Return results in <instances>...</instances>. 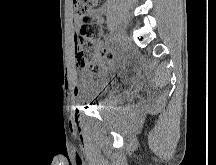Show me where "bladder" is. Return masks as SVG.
Segmentation results:
<instances>
[{"mask_svg": "<svg viewBox=\"0 0 216 165\" xmlns=\"http://www.w3.org/2000/svg\"><path fill=\"white\" fill-rule=\"evenodd\" d=\"M119 76H96L91 80L92 89L87 100H96L94 105L97 111H106L107 107L113 102V94H119L118 89Z\"/></svg>", "mask_w": 216, "mask_h": 165, "instance_id": "obj_1", "label": "bladder"}]
</instances>
